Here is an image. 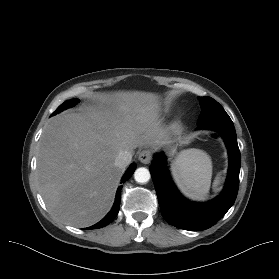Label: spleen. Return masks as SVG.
Segmentation results:
<instances>
[{
    "label": "spleen",
    "instance_id": "spleen-1",
    "mask_svg": "<svg viewBox=\"0 0 279 279\" xmlns=\"http://www.w3.org/2000/svg\"><path fill=\"white\" fill-rule=\"evenodd\" d=\"M174 180L182 193L193 200H204L209 193L212 177V161L202 150L181 152L172 166ZM220 183L218 175L213 186Z\"/></svg>",
    "mask_w": 279,
    "mask_h": 279
}]
</instances>
